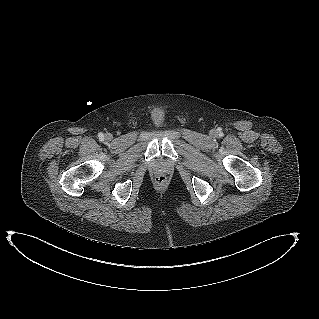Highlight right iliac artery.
Instances as JSON below:
<instances>
[{
	"mask_svg": "<svg viewBox=\"0 0 319 319\" xmlns=\"http://www.w3.org/2000/svg\"><path fill=\"white\" fill-rule=\"evenodd\" d=\"M98 137H99L100 139H103V138H104V134L100 132V133L98 134Z\"/></svg>",
	"mask_w": 319,
	"mask_h": 319,
	"instance_id": "obj_1",
	"label": "right iliac artery"
}]
</instances>
